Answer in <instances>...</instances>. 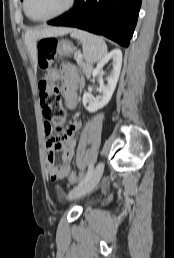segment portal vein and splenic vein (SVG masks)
<instances>
[{
    "instance_id": "18ae733b",
    "label": "portal vein and splenic vein",
    "mask_w": 174,
    "mask_h": 258,
    "mask_svg": "<svg viewBox=\"0 0 174 258\" xmlns=\"http://www.w3.org/2000/svg\"><path fill=\"white\" fill-rule=\"evenodd\" d=\"M82 58V55L81 54H78L77 56V60L81 59Z\"/></svg>"
}]
</instances>
